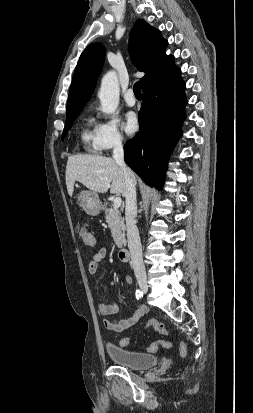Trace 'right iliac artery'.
Instances as JSON below:
<instances>
[{"instance_id": "82829eb1", "label": "right iliac artery", "mask_w": 253, "mask_h": 413, "mask_svg": "<svg viewBox=\"0 0 253 413\" xmlns=\"http://www.w3.org/2000/svg\"><path fill=\"white\" fill-rule=\"evenodd\" d=\"M135 294L137 299H141L143 297V293L139 289L136 290Z\"/></svg>"}]
</instances>
